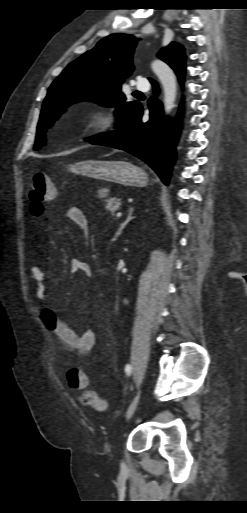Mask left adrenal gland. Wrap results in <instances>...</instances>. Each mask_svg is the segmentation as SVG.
Instances as JSON below:
<instances>
[{
	"instance_id": "a2214340",
	"label": "left adrenal gland",
	"mask_w": 247,
	"mask_h": 513,
	"mask_svg": "<svg viewBox=\"0 0 247 513\" xmlns=\"http://www.w3.org/2000/svg\"><path fill=\"white\" fill-rule=\"evenodd\" d=\"M133 212L134 208H130L126 220L120 224V227L118 228V231L116 232L113 240H117L118 237L122 234V230L125 228V226L135 218L134 216H132Z\"/></svg>"
}]
</instances>
